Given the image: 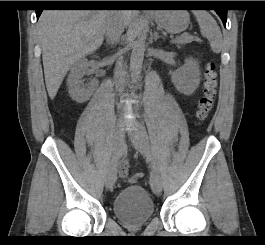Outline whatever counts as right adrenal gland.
Here are the masks:
<instances>
[{"instance_id":"1","label":"right adrenal gland","mask_w":265,"mask_h":245,"mask_svg":"<svg viewBox=\"0 0 265 245\" xmlns=\"http://www.w3.org/2000/svg\"><path fill=\"white\" fill-rule=\"evenodd\" d=\"M106 44H107L108 46H110V47L113 46V43H112V42H109L108 40H106Z\"/></svg>"}]
</instances>
